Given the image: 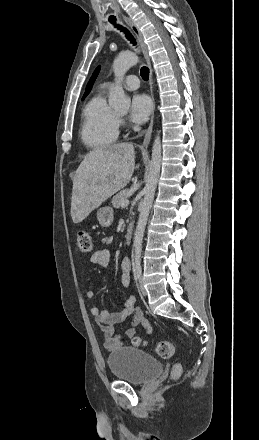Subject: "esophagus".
Returning a JSON list of instances; mask_svg holds the SVG:
<instances>
[{
  "mask_svg": "<svg viewBox=\"0 0 259 440\" xmlns=\"http://www.w3.org/2000/svg\"><path fill=\"white\" fill-rule=\"evenodd\" d=\"M123 19L127 23V25L131 28V30L135 34L136 38L138 39L140 46H141V49H142V52L144 54L145 60H146L147 65L149 67V87H150V93H151L152 100H153V110H152L150 124H149L148 129L146 130L145 137H144L142 147H141L142 151H146V149L148 148V145L150 143V139H151L153 123H154V109H155L151 60H150V56L148 53L147 45L144 41L143 35H142L140 29L138 28V26L129 17L123 16Z\"/></svg>",
  "mask_w": 259,
  "mask_h": 440,
  "instance_id": "34e87169",
  "label": "esophagus"
}]
</instances>
